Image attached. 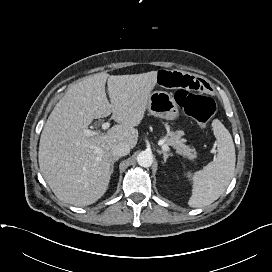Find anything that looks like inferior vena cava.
Returning a JSON list of instances; mask_svg holds the SVG:
<instances>
[{"label": "inferior vena cava", "instance_id": "inferior-vena-cava-1", "mask_svg": "<svg viewBox=\"0 0 272 272\" xmlns=\"http://www.w3.org/2000/svg\"><path fill=\"white\" fill-rule=\"evenodd\" d=\"M130 152V147L124 143H118L114 145L111 149V153L115 157L125 156Z\"/></svg>", "mask_w": 272, "mask_h": 272}]
</instances>
